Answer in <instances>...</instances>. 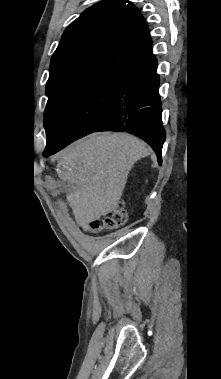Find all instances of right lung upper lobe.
<instances>
[{"mask_svg": "<svg viewBox=\"0 0 221 379\" xmlns=\"http://www.w3.org/2000/svg\"><path fill=\"white\" fill-rule=\"evenodd\" d=\"M154 59L140 11L128 0H103L64 31L51 59L46 94L98 77L122 78Z\"/></svg>", "mask_w": 221, "mask_h": 379, "instance_id": "obj_1", "label": "right lung upper lobe"}]
</instances>
